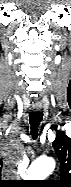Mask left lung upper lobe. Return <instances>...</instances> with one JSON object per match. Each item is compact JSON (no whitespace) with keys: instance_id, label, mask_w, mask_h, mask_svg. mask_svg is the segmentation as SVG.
I'll use <instances>...</instances> for the list:
<instances>
[{"instance_id":"1","label":"left lung upper lobe","mask_w":71,"mask_h":187,"mask_svg":"<svg viewBox=\"0 0 71 187\" xmlns=\"http://www.w3.org/2000/svg\"><path fill=\"white\" fill-rule=\"evenodd\" d=\"M56 138L52 143L53 148L61 164V181H57L61 186H70L71 184V138L64 132L57 131Z\"/></svg>"}]
</instances>
